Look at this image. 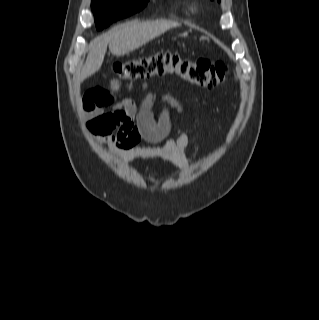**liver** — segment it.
<instances>
[{"label":"liver","instance_id":"obj_1","mask_svg":"<svg viewBox=\"0 0 319 320\" xmlns=\"http://www.w3.org/2000/svg\"><path fill=\"white\" fill-rule=\"evenodd\" d=\"M180 26L167 20L140 23L131 21L114 27L108 33L90 42L89 53L81 72V80L96 73L102 66L107 46L115 56H122L138 49L169 29Z\"/></svg>","mask_w":319,"mask_h":320}]
</instances>
